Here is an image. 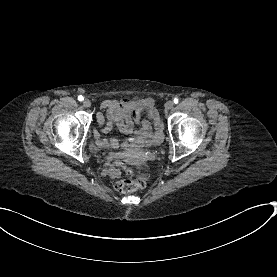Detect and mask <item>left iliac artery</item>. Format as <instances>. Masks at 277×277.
Listing matches in <instances>:
<instances>
[{
    "instance_id": "44dca946",
    "label": "left iliac artery",
    "mask_w": 277,
    "mask_h": 277,
    "mask_svg": "<svg viewBox=\"0 0 277 277\" xmlns=\"http://www.w3.org/2000/svg\"><path fill=\"white\" fill-rule=\"evenodd\" d=\"M178 98H174V103L177 104L178 103Z\"/></svg>"
}]
</instances>
